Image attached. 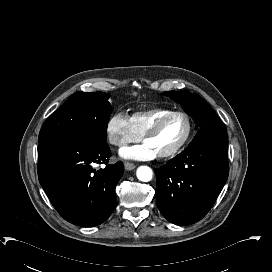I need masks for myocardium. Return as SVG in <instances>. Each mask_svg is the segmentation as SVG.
I'll return each instance as SVG.
<instances>
[{
    "mask_svg": "<svg viewBox=\"0 0 272 272\" xmlns=\"http://www.w3.org/2000/svg\"><path fill=\"white\" fill-rule=\"evenodd\" d=\"M174 117H181L184 119L185 124H186L185 135H184L183 139L181 140V142L178 144V146L174 150L167 152V153L158 154V157H160V158H173L183 150V148L188 143L191 133H192V123H191L190 118L188 117L187 114H185L184 112H181V111L169 112V113H166V114L162 115L161 117L157 118L156 121L154 123H152L150 125V127L147 129V131L145 132V137L149 138L150 136L155 134L164 125V123L166 121H168L169 119L174 118Z\"/></svg>",
    "mask_w": 272,
    "mask_h": 272,
    "instance_id": "obj_1",
    "label": "myocardium"
}]
</instances>
